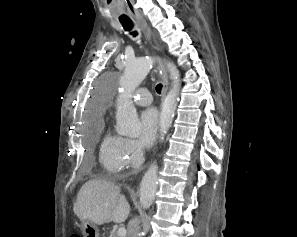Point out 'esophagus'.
Returning a JSON list of instances; mask_svg holds the SVG:
<instances>
[{"instance_id":"esophagus-1","label":"esophagus","mask_w":297,"mask_h":237,"mask_svg":"<svg viewBox=\"0 0 297 237\" xmlns=\"http://www.w3.org/2000/svg\"><path fill=\"white\" fill-rule=\"evenodd\" d=\"M134 16L137 19V21L139 22V24L141 26V29L143 30V32L145 33V35L150 39L151 38V30H150L147 22L138 13H135ZM161 73H162V82H163L162 97L164 98L166 96V93H167V90H168V84L169 83H168L167 72H166V70H165V68L163 67L162 64H161Z\"/></svg>"}]
</instances>
